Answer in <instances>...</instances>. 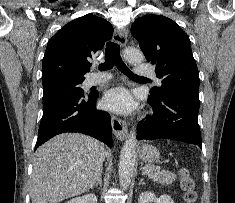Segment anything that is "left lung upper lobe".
I'll use <instances>...</instances> for the list:
<instances>
[{"label": "left lung upper lobe", "instance_id": "left-lung-upper-lobe-1", "mask_svg": "<svg viewBox=\"0 0 235 203\" xmlns=\"http://www.w3.org/2000/svg\"><path fill=\"white\" fill-rule=\"evenodd\" d=\"M131 32L162 79V86L152 88L150 96L162 99L174 91L199 94V74L189 37L173 20L161 15L142 16L132 24Z\"/></svg>", "mask_w": 235, "mask_h": 203}]
</instances>
